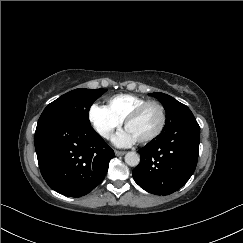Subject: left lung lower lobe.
<instances>
[{"label":"left lung lower lobe","mask_w":243,"mask_h":243,"mask_svg":"<svg viewBox=\"0 0 243 243\" xmlns=\"http://www.w3.org/2000/svg\"><path fill=\"white\" fill-rule=\"evenodd\" d=\"M200 127L188 117L161 132L139 150L140 163L132 171L135 182L156 195H168L181 188L197 165Z\"/></svg>","instance_id":"obj_1"}]
</instances>
